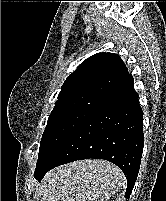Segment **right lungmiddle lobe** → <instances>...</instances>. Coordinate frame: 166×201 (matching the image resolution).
Instances as JSON below:
<instances>
[{
	"label": "right lung middle lobe",
	"mask_w": 166,
	"mask_h": 201,
	"mask_svg": "<svg viewBox=\"0 0 166 201\" xmlns=\"http://www.w3.org/2000/svg\"><path fill=\"white\" fill-rule=\"evenodd\" d=\"M104 96H84L55 104L43 133L36 171L41 169L56 149L102 103Z\"/></svg>",
	"instance_id": "dd1d6c3e"
}]
</instances>
